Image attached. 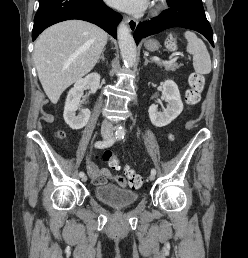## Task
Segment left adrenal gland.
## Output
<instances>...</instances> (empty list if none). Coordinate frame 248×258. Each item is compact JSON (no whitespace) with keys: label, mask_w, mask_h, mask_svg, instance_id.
<instances>
[{"label":"left adrenal gland","mask_w":248,"mask_h":258,"mask_svg":"<svg viewBox=\"0 0 248 258\" xmlns=\"http://www.w3.org/2000/svg\"><path fill=\"white\" fill-rule=\"evenodd\" d=\"M144 59H145L144 65L146 66L148 63H150V61L147 59L146 56H144Z\"/></svg>","instance_id":"a2214340"}]
</instances>
